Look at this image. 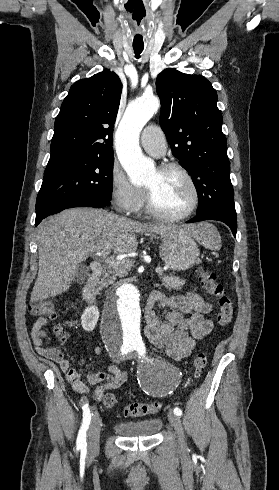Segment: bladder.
Segmentation results:
<instances>
[{"label":"bladder","mask_w":279,"mask_h":490,"mask_svg":"<svg viewBox=\"0 0 279 490\" xmlns=\"http://www.w3.org/2000/svg\"><path fill=\"white\" fill-rule=\"evenodd\" d=\"M162 426V418L151 417L135 421H117L113 429L121 437H152L159 432Z\"/></svg>","instance_id":"31cf9c89"}]
</instances>
